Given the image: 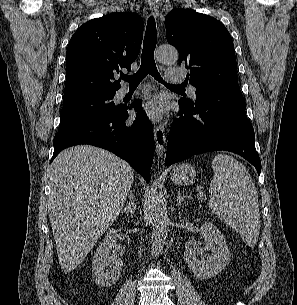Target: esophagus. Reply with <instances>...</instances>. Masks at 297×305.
Instances as JSON below:
<instances>
[{
	"mask_svg": "<svg viewBox=\"0 0 297 305\" xmlns=\"http://www.w3.org/2000/svg\"><path fill=\"white\" fill-rule=\"evenodd\" d=\"M150 9L155 17L159 13V0H148ZM155 150L158 157H162L165 151L166 143V128L165 124H159L154 127Z\"/></svg>",
	"mask_w": 297,
	"mask_h": 305,
	"instance_id": "1",
	"label": "esophagus"
}]
</instances>
